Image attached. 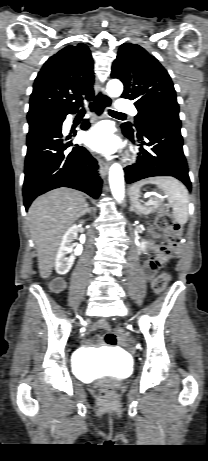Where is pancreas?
<instances>
[{
  "label": "pancreas",
  "mask_w": 208,
  "mask_h": 461,
  "mask_svg": "<svg viewBox=\"0 0 208 461\" xmlns=\"http://www.w3.org/2000/svg\"><path fill=\"white\" fill-rule=\"evenodd\" d=\"M151 212L155 211V210H160L161 209V206L160 204H154L152 205L151 207H149Z\"/></svg>",
  "instance_id": "pancreas-1"
}]
</instances>
